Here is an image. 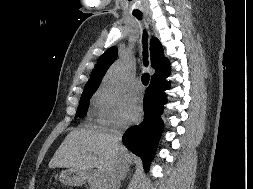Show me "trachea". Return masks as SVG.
Masks as SVG:
<instances>
[{
  "label": "trachea",
  "mask_w": 253,
  "mask_h": 189,
  "mask_svg": "<svg viewBox=\"0 0 253 189\" xmlns=\"http://www.w3.org/2000/svg\"><path fill=\"white\" fill-rule=\"evenodd\" d=\"M138 20L142 19V15L140 13L133 14ZM147 32L144 30L143 32V62L145 66H148V52H147ZM150 80V75L148 73H144L141 77L142 83L146 86L148 85Z\"/></svg>",
  "instance_id": "1"
}]
</instances>
